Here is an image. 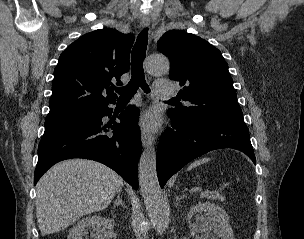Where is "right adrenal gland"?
<instances>
[{
  "instance_id": "obj_1",
  "label": "right adrenal gland",
  "mask_w": 304,
  "mask_h": 239,
  "mask_svg": "<svg viewBox=\"0 0 304 239\" xmlns=\"http://www.w3.org/2000/svg\"><path fill=\"white\" fill-rule=\"evenodd\" d=\"M119 205H121V206H123L124 208H126L124 202L122 201L121 192H118V194H117V199H116L115 202H114V207L119 206Z\"/></svg>"
}]
</instances>
